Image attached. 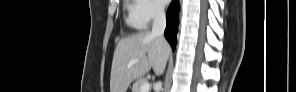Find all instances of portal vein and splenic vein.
Masks as SVG:
<instances>
[{
	"label": "portal vein and splenic vein",
	"instance_id": "1",
	"mask_svg": "<svg viewBox=\"0 0 296 92\" xmlns=\"http://www.w3.org/2000/svg\"><path fill=\"white\" fill-rule=\"evenodd\" d=\"M138 62H139L138 59H133V60H131L129 62V66H132V65H134V64H136ZM149 89H150V84L148 82H145V83L142 84L140 91L141 92H148Z\"/></svg>",
	"mask_w": 296,
	"mask_h": 92
}]
</instances>
